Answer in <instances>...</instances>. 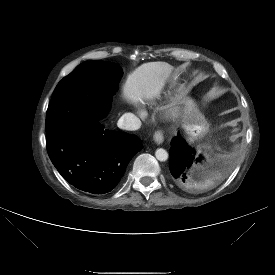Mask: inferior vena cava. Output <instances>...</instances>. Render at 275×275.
Masks as SVG:
<instances>
[{
  "label": "inferior vena cava",
  "mask_w": 275,
  "mask_h": 275,
  "mask_svg": "<svg viewBox=\"0 0 275 275\" xmlns=\"http://www.w3.org/2000/svg\"><path fill=\"white\" fill-rule=\"evenodd\" d=\"M120 129L124 130H137L141 126L140 119L132 113L123 114L117 123Z\"/></svg>",
  "instance_id": "inferior-vena-cava-1"
}]
</instances>
